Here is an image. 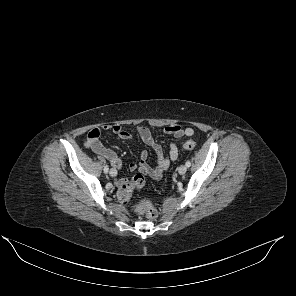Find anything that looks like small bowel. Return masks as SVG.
Here are the masks:
<instances>
[{"mask_svg":"<svg viewBox=\"0 0 296 296\" xmlns=\"http://www.w3.org/2000/svg\"><path fill=\"white\" fill-rule=\"evenodd\" d=\"M102 130L112 131L114 134L118 135L124 140H130V133L120 125H104L102 128H93L89 131L87 139L84 143L86 148L91 149L96 154L107 159L111 165L116 168H121V160L112 149L105 147L100 142V136ZM136 132L141 140L151 147L156 154V165L154 167L150 166L146 161L148 159V152L142 150L140 152V161L139 163H131L129 165L130 171L139 170L140 173L147 175L153 179H159L162 177L163 173L169 168L171 162L178 159L179 150L175 143H171L169 146V156L167 157L164 153L163 147L156 141L153 133L146 127H137ZM164 132L169 135H173L176 138L183 136H192L194 130L190 127L183 128L179 124H172L164 128ZM128 182L124 178H118L116 180L117 186L119 188Z\"/></svg>","mask_w":296,"mask_h":296,"instance_id":"1","label":"small bowel"}]
</instances>
